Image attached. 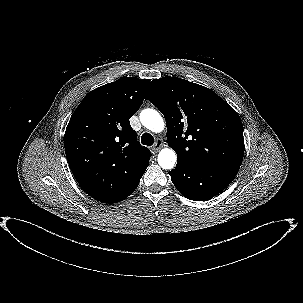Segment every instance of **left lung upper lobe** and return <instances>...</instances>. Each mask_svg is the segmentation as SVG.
Masks as SVG:
<instances>
[{
  "label": "left lung upper lobe",
  "instance_id": "obj_1",
  "mask_svg": "<svg viewBox=\"0 0 303 303\" xmlns=\"http://www.w3.org/2000/svg\"><path fill=\"white\" fill-rule=\"evenodd\" d=\"M146 96L165 117L167 143L178 161L240 168L244 155L241 119L212 90L166 76L154 79Z\"/></svg>",
  "mask_w": 303,
  "mask_h": 303
}]
</instances>
